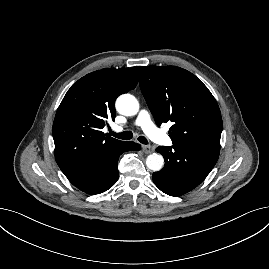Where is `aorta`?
Returning a JSON list of instances; mask_svg holds the SVG:
<instances>
[{"mask_svg": "<svg viewBox=\"0 0 269 269\" xmlns=\"http://www.w3.org/2000/svg\"><path fill=\"white\" fill-rule=\"evenodd\" d=\"M117 111L125 116L136 115L139 111V103L137 99L131 94H123L116 100ZM164 165V158L162 155L153 153L147 156L146 166L148 169L156 172L160 171Z\"/></svg>", "mask_w": 269, "mask_h": 269, "instance_id": "obj_1", "label": "aorta"}]
</instances>
